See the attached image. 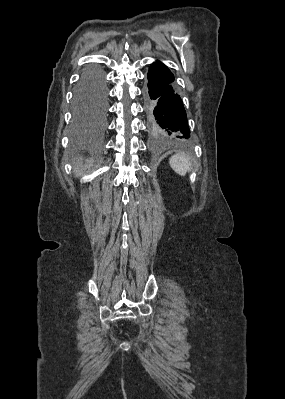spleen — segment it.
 I'll use <instances>...</instances> for the list:
<instances>
[{"label": "spleen", "instance_id": "spleen-1", "mask_svg": "<svg viewBox=\"0 0 285 399\" xmlns=\"http://www.w3.org/2000/svg\"><path fill=\"white\" fill-rule=\"evenodd\" d=\"M171 168L179 175L185 176L191 170V162L189 158L178 152L169 159Z\"/></svg>", "mask_w": 285, "mask_h": 399}]
</instances>
